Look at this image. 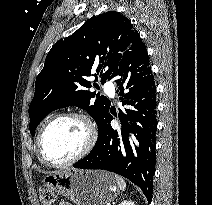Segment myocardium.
<instances>
[{
    "label": "myocardium",
    "mask_w": 212,
    "mask_h": 205,
    "mask_svg": "<svg viewBox=\"0 0 212 205\" xmlns=\"http://www.w3.org/2000/svg\"><path fill=\"white\" fill-rule=\"evenodd\" d=\"M65 118H74V119L80 120L86 128L87 140H86L84 147L82 148V150L77 155H75L74 157H72L71 159H69L67 161L56 163V162L50 161L45 156V154L43 152L42 141H43V137H44V134L47 131V129L54 122L61 120V119H65ZM97 138H98V131H97L96 125L94 124L92 119L87 114L82 113V112H78V111L63 112V113L55 115L54 117L49 119L42 126V128H41V130L38 134V137H37L38 155H39L40 159L42 160V162H44L48 166L56 167V168L66 167V166L72 165V164L80 161L84 157H86L92 151V149L94 148V146L97 142Z\"/></svg>",
    "instance_id": "f54148a6"
}]
</instances>
